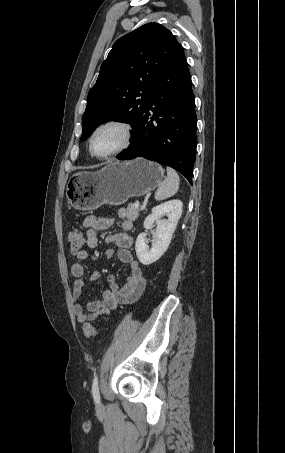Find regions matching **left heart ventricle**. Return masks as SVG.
<instances>
[{"label":"left heart ventricle","mask_w":285,"mask_h":453,"mask_svg":"<svg viewBox=\"0 0 285 453\" xmlns=\"http://www.w3.org/2000/svg\"><path fill=\"white\" fill-rule=\"evenodd\" d=\"M124 135L117 127L100 130L93 140V150L98 155H105L117 149L123 142Z\"/></svg>","instance_id":"left-heart-ventricle-1"}]
</instances>
